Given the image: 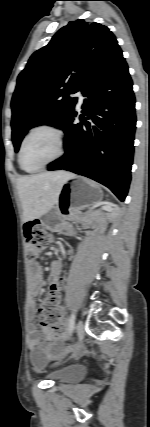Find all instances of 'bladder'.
Returning <instances> with one entry per match:
<instances>
[{"mask_svg":"<svg viewBox=\"0 0 150 427\" xmlns=\"http://www.w3.org/2000/svg\"><path fill=\"white\" fill-rule=\"evenodd\" d=\"M82 373L79 366H67L50 374V379L55 383H66L77 379Z\"/></svg>","mask_w":150,"mask_h":427,"instance_id":"obj_1","label":"bladder"}]
</instances>
